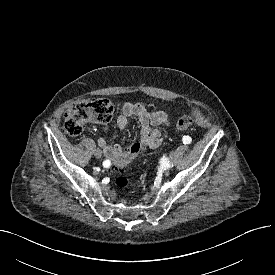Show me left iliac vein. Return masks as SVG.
Returning a JSON list of instances; mask_svg holds the SVG:
<instances>
[{"label":"left iliac vein","instance_id":"obj_1","mask_svg":"<svg viewBox=\"0 0 275 275\" xmlns=\"http://www.w3.org/2000/svg\"><path fill=\"white\" fill-rule=\"evenodd\" d=\"M175 156H176V153H175V152H171V153H170V160H169V162L166 164V169H169V168L173 167V160H174Z\"/></svg>","mask_w":275,"mask_h":275}]
</instances>
